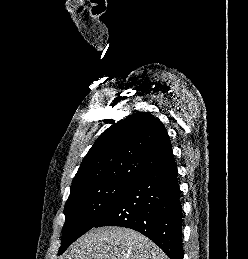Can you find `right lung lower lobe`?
<instances>
[{
    "label": "right lung lower lobe",
    "mask_w": 248,
    "mask_h": 259,
    "mask_svg": "<svg viewBox=\"0 0 248 259\" xmlns=\"http://www.w3.org/2000/svg\"><path fill=\"white\" fill-rule=\"evenodd\" d=\"M177 175L175 162L142 175L94 227L131 228L151 239L170 259H183L182 207Z\"/></svg>",
    "instance_id": "98d812e1"
}]
</instances>
